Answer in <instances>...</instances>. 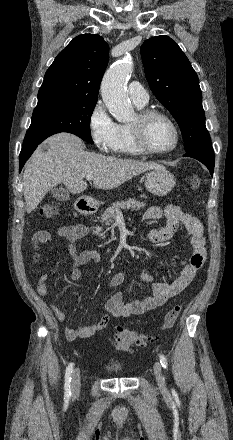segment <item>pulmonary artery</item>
I'll return each mask as SVG.
<instances>
[{"mask_svg": "<svg viewBox=\"0 0 233 440\" xmlns=\"http://www.w3.org/2000/svg\"><path fill=\"white\" fill-rule=\"evenodd\" d=\"M128 94L137 106H145L149 101V95L144 86L138 81H132L128 85Z\"/></svg>", "mask_w": 233, "mask_h": 440, "instance_id": "e3ab8cb5", "label": "pulmonary artery"}]
</instances>
